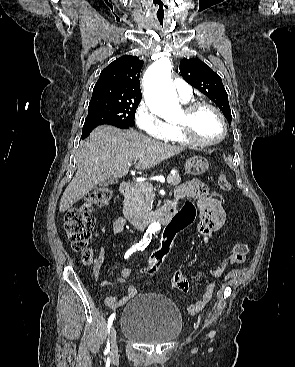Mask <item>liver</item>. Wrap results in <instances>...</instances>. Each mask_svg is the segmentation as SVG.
<instances>
[{"mask_svg": "<svg viewBox=\"0 0 295 367\" xmlns=\"http://www.w3.org/2000/svg\"><path fill=\"white\" fill-rule=\"evenodd\" d=\"M182 151L183 147L158 142L135 130L99 126L80 142L77 172L62 195L59 211L70 209L100 182L126 176L135 160L139 159L137 169H150Z\"/></svg>", "mask_w": 295, "mask_h": 367, "instance_id": "obj_1", "label": "liver"}]
</instances>
